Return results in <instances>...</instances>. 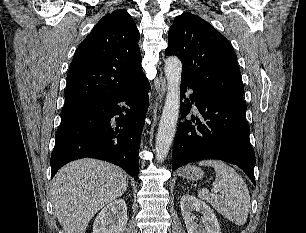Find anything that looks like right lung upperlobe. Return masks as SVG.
Returning a JSON list of instances; mask_svg holds the SVG:
<instances>
[{"instance_id":"obj_1","label":"right lung upper lobe","mask_w":306,"mask_h":233,"mask_svg":"<svg viewBox=\"0 0 306 233\" xmlns=\"http://www.w3.org/2000/svg\"><path fill=\"white\" fill-rule=\"evenodd\" d=\"M139 39L136 24L126 10L106 14L74 54L64 108L114 98L140 77Z\"/></svg>"}]
</instances>
